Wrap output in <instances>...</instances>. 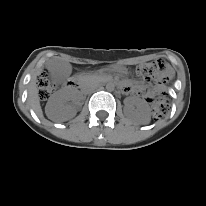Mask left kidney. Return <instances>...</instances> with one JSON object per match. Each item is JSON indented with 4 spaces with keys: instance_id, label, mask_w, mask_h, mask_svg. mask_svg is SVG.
<instances>
[{
    "instance_id": "obj_1",
    "label": "left kidney",
    "mask_w": 206,
    "mask_h": 206,
    "mask_svg": "<svg viewBox=\"0 0 206 206\" xmlns=\"http://www.w3.org/2000/svg\"><path fill=\"white\" fill-rule=\"evenodd\" d=\"M124 112L127 116L136 119L140 124H148L151 120L149 105L145 100L139 98H127Z\"/></svg>"
}]
</instances>
